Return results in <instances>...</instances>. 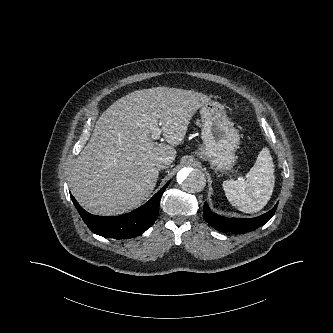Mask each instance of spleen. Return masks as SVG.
I'll list each match as a JSON object with an SVG mask.
<instances>
[{
    "label": "spleen",
    "instance_id": "obj_1",
    "mask_svg": "<svg viewBox=\"0 0 333 333\" xmlns=\"http://www.w3.org/2000/svg\"><path fill=\"white\" fill-rule=\"evenodd\" d=\"M274 183V164L266 147L260 151L245 179L225 180L222 186L231 205L244 213H256L270 200Z\"/></svg>",
    "mask_w": 333,
    "mask_h": 333
}]
</instances>
